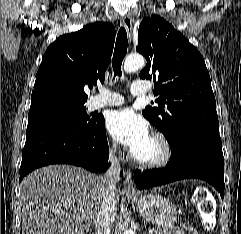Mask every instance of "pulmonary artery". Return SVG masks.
<instances>
[{
  "label": "pulmonary artery",
  "instance_id": "obj_1",
  "mask_svg": "<svg viewBox=\"0 0 241 234\" xmlns=\"http://www.w3.org/2000/svg\"><path fill=\"white\" fill-rule=\"evenodd\" d=\"M148 90V86L142 82H135L131 86V94L134 96L144 95ZM123 102L124 99L120 94L100 89V93L90 99L89 107L91 110H96L107 106H119Z\"/></svg>",
  "mask_w": 241,
  "mask_h": 234
}]
</instances>
